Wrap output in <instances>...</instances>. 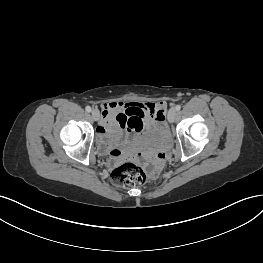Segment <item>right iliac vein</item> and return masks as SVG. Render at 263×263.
Here are the masks:
<instances>
[{"mask_svg":"<svg viewBox=\"0 0 263 263\" xmlns=\"http://www.w3.org/2000/svg\"><path fill=\"white\" fill-rule=\"evenodd\" d=\"M91 116H92L93 120L98 121L100 118V113L98 110L94 109L91 111Z\"/></svg>","mask_w":263,"mask_h":263,"instance_id":"1","label":"right iliac vein"}]
</instances>
